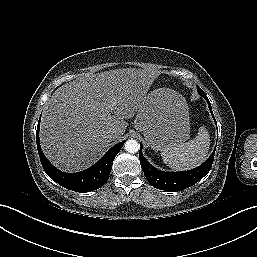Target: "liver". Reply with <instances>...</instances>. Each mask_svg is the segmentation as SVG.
Segmentation results:
<instances>
[{"mask_svg": "<svg viewBox=\"0 0 257 257\" xmlns=\"http://www.w3.org/2000/svg\"><path fill=\"white\" fill-rule=\"evenodd\" d=\"M158 76L155 70L122 68L88 74L60 86L46 102L40 125L45 156L58 169L77 172L92 165L120 140ZM114 115H111V114ZM110 130L114 139L106 138Z\"/></svg>", "mask_w": 257, "mask_h": 257, "instance_id": "1", "label": "liver"}]
</instances>
